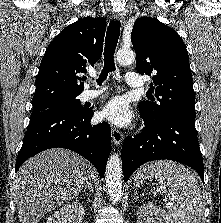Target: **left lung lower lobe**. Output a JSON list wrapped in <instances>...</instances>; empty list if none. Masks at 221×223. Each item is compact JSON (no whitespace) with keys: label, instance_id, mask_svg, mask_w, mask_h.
I'll return each instance as SVG.
<instances>
[{"label":"left lung lower lobe","instance_id":"left-lung-lower-lobe-1","mask_svg":"<svg viewBox=\"0 0 221 223\" xmlns=\"http://www.w3.org/2000/svg\"><path fill=\"white\" fill-rule=\"evenodd\" d=\"M142 132L125 138L121 156L124 182L142 164L160 159L183 163L204 181V167L195 129V117L173 114L161 120H150L142 113Z\"/></svg>","mask_w":221,"mask_h":223}]
</instances>
